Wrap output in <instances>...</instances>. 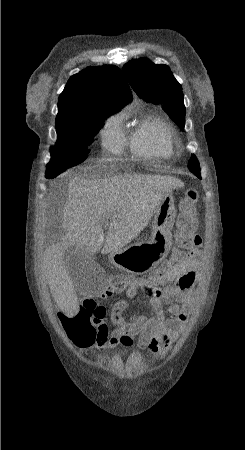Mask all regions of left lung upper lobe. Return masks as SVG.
I'll return each instance as SVG.
<instances>
[{
    "mask_svg": "<svg viewBox=\"0 0 245 450\" xmlns=\"http://www.w3.org/2000/svg\"><path fill=\"white\" fill-rule=\"evenodd\" d=\"M123 72L139 97L163 104L170 118L184 130L185 106L182 87L167 65H156L142 58L125 64ZM188 168L201 179L199 162L195 155L190 158Z\"/></svg>",
    "mask_w": 245,
    "mask_h": 450,
    "instance_id": "left-lung-upper-lobe-1",
    "label": "left lung upper lobe"
}]
</instances>
